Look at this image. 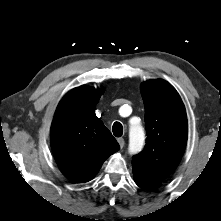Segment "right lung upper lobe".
<instances>
[{
  "instance_id": "right-lung-upper-lobe-1",
  "label": "right lung upper lobe",
  "mask_w": 221,
  "mask_h": 221,
  "mask_svg": "<svg viewBox=\"0 0 221 221\" xmlns=\"http://www.w3.org/2000/svg\"><path fill=\"white\" fill-rule=\"evenodd\" d=\"M102 89L80 86L59 103L51 126V147L61 172L75 182L91 180L120 147L95 115Z\"/></svg>"
}]
</instances>
